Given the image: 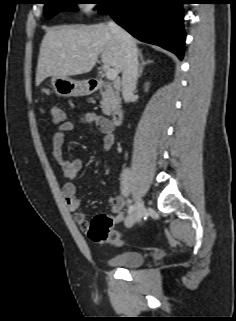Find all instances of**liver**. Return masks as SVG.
I'll use <instances>...</instances> for the list:
<instances>
[{"label": "liver", "mask_w": 236, "mask_h": 321, "mask_svg": "<svg viewBox=\"0 0 236 321\" xmlns=\"http://www.w3.org/2000/svg\"><path fill=\"white\" fill-rule=\"evenodd\" d=\"M135 44L137 41L133 39ZM105 67L123 71L124 53L106 24L60 26L48 29L38 57L36 86L49 76L69 77L88 73L98 56Z\"/></svg>", "instance_id": "liver-1"}]
</instances>
